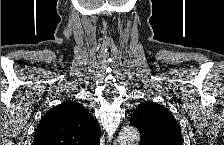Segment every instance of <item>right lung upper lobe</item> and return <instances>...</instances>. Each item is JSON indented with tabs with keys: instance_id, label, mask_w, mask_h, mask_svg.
Listing matches in <instances>:
<instances>
[{
	"instance_id": "cb5924a9",
	"label": "right lung upper lobe",
	"mask_w": 224,
	"mask_h": 145,
	"mask_svg": "<svg viewBox=\"0 0 224 145\" xmlns=\"http://www.w3.org/2000/svg\"><path fill=\"white\" fill-rule=\"evenodd\" d=\"M101 128L79 103L65 101L46 112L34 136L35 145H99Z\"/></svg>"
}]
</instances>
